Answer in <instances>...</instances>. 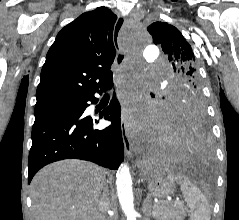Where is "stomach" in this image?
Wrapping results in <instances>:
<instances>
[{"label":"stomach","instance_id":"stomach-1","mask_svg":"<svg viewBox=\"0 0 239 220\" xmlns=\"http://www.w3.org/2000/svg\"><path fill=\"white\" fill-rule=\"evenodd\" d=\"M148 189L152 196L164 198L175 192V185L165 178H150Z\"/></svg>","mask_w":239,"mask_h":220}]
</instances>
